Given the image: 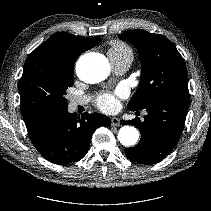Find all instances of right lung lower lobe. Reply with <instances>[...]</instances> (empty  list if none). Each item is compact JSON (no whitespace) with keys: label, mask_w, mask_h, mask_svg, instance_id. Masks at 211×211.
<instances>
[{"label":"right lung lower lobe","mask_w":211,"mask_h":211,"mask_svg":"<svg viewBox=\"0 0 211 211\" xmlns=\"http://www.w3.org/2000/svg\"><path fill=\"white\" fill-rule=\"evenodd\" d=\"M110 125L111 120L105 115L86 112L80 117L66 108L44 114L26 127L34 146L45 159L65 165L82 159L93 132L99 126Z\"/></svg>","instance_id":"obj_1"}]
</instances>
